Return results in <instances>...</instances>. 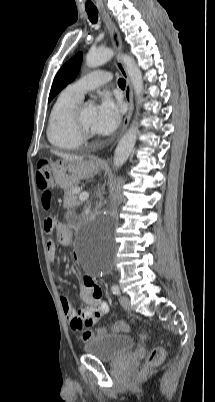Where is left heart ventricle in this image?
<instances>
[{"mask_svg":"<svg viewBox=\"0 0 215 402\" xmlns=\"http://www.w3.org/2000/svg\"><path fill=\"white\" fill-rule=\"evenodd\" d=\"M95 107L90 104H85L81 110V120L86 129L89 131H93L92 129V122L94 118Z\"/></svg>","mask_w":215,"mask_h":402,"instance_id":"b2bd125f","label":"left heart ventricle"}]
</instances>
